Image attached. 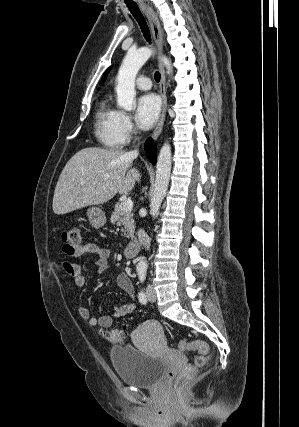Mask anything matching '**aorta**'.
Returning <instances> with one entry per match:
<instances>
[{
	"label": "aorta",
	"mask_w": 299,
	"mask_h": 427,
	"mask_svg": "<svg viewBox=\"0 0 299 427\" xmlns=\"http://www.w3.org/2000/svg\"><path fill=\"white\" fill-rule=\"evenodd\" d=\"M153 51L148 47H142L138 50H129L123 59L117 76V104L120 108L131 111L135 105V79L139 69L151 57ZM162 61L167 68L168 73L172 72V67L167 57H162ZM171 172V147L166 142L162 146L156 166V179L154 191L151 198L150 214L153 219L158 216L160 206L166 195ZM139 268H146L147 262L141 260L138 263Z\"/></svg>",
	"instance_id": "obj_1"
}]
</instances>
